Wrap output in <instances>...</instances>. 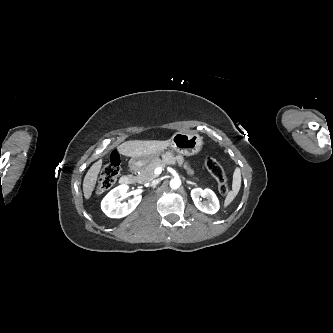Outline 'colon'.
Here are the masks:
<instances>
[{"instance_id":"colon-1","label":"colon","mask_w":333,"mask_h":333,"mask_svg":"<svg viewBox=\"0 0 333 333\" xmlns=\"http://www.w3.org/2000/svg\"><path fill=\"white\" fill-rule=\"evenodd\" d=\"M121 158L118 153L111 154L108 163L100 173L96 191L103 193L110 189L120 172ZM205 168L216 179L219 190L223 195H226L230 190L229 180L223 166L213 157H206L204 161Z\"/></svg>"}]
</instances>
